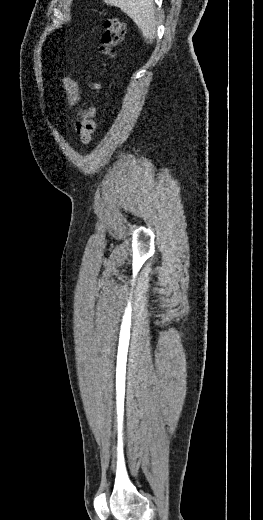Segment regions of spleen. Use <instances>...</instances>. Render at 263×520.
Listing matches in <instances>:
<instances>
[{
    "label": "spleen",
    "instance_id": "spleen-1",
    "mask_svg": "<svg viewBox=\"0 0 263 520\" xmlns=\"http://www.w3.org/2000/svg\"><path fill=\"white\" fill-rule=\"evenodd\" d=\"M106 4L119 7L141 30L150 44L156 36V8L153 0H104Z\"/></svg>",
    "mask_w": 263,
    "mask_h": 520
}]
</instances>
